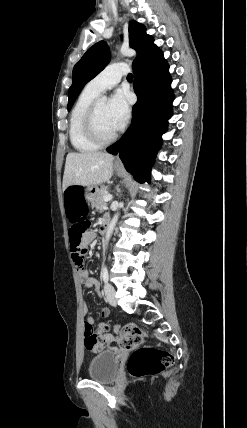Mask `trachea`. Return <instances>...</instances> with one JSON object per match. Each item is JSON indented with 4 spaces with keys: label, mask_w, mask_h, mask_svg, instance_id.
<instances>
[{
    "label": "trachea",
    "mask_w": 247,
    "mask_h": 428,
    "mask_svg": "<svg viewBox=\"0 0 247 428\" xmlns=\"http://www.w3.org/2000/svg\"><path fill=\"white\" fill-rule=\"evenodd\" d=\"M127 79L128 80H133V75L132 74H128Z\"/></svg>",
    "instance_id": "obj_1"
}]
</instances>
